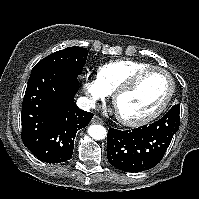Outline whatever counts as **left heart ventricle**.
Segmentation results:
<instances>
[{"label": "left heart ventricle", "mask_w": 199, "mask_h": 199, "mask_svg": "<svg viewBox=\"0 0 199 199\" xmlns=\"http://www.w3.org/2000/svg\"><path fill=\"white\" fill-rule=\"evenodd\" d=\"M168 90L169 80L164 73H147L133 90L119 98L117 112L128 118L148 115L163 102Z\"/></svg>", "instance_id": "b2bd125f"}]
</instances>
